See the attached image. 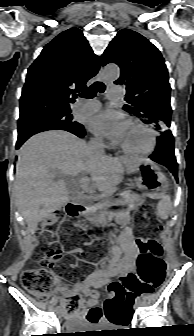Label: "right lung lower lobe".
Wrapping results in <instances>:
<instances>
[{
	"label": "right lung lower lobe",
	"mask_w": 194,
	"mask_h": 336,
	"mask_svg": "<svg viewBox=\"0 0 194 336\" xmlns=\"http://www.w3.org/2000/svg\"><path fill=\"white\" fill-rule=\"evenodd\" d=\"M71 132L73 134H75L76 136L83 138L85 136V130L84 128L77 130V131H68ZM34 135V134H32ZM32 135H27V136H22V137H18L17 143H16V149H19L20 146Z\"/></svg>",
	"instance_id": "1"
}]
</instances>
